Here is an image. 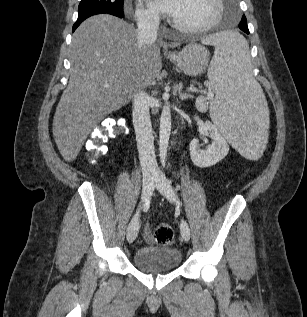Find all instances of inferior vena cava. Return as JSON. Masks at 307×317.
<instances>
[{"mask_svg": "<svg viewBox=\"0 0 307 317\" xmlns=\"http://www.w3.org/2000/svg\"><path fill=\"white\" fill-rule=\"evenodd\" d=\"M137 46L141 49L145 44L157 39L159 17L155 14H144L137 19ZM149 96L143 91L133 94V125L139 152L143 177L154 176L158 166L154 151V138L149 113Z\"/></svg>", "mask_w": 307, "mask_h": 317, "instance_id": "602c4592", "label": "inferior vena cava"}]
</instances>
